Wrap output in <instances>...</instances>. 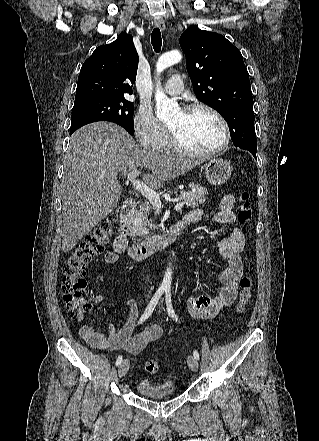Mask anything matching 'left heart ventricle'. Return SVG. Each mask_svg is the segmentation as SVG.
<instances>
[{
	"label": "left heart ventricle",
	"mask_w": 319,
	"mask_h": 441,
	"mask_svg": "<svg viewBox=\"0 0 319 441\" xmlns=\"http://www.w3.org/2000/svg\"><path fill=\"white\" fill-rule=\"evenodd\" d=\"M168 127L181 143L194 151H208L219 146L223 130L218 120L204 110L192 113L178 111L168 121Z\"/></svg>",
	"instance_id": "b2bd125f"
}]
</instances>
